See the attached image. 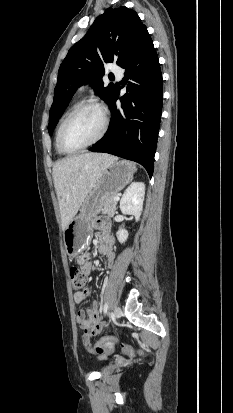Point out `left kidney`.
Wrapping results in <instances>:
<instances>
[{
    "instance_id": "obj_1",
    "label": "left kidney",
    "mask_w": 233,
    "mask_h": 413,
    "mask_svg": "<svg viewBox=\"0 0 233 413\" xmlns=\"http://www.w3.org/2000/svg\"><path fill=\"white\" fill-rule=\"evenodd\" d=\"M145 195V184L143 182H133L124 192L120 201V210L123 214L132 215L138 221L143 210ZM117 238L120 243H125L128 239V231L119 229Z\"/></svg>"
}]
</instances>
